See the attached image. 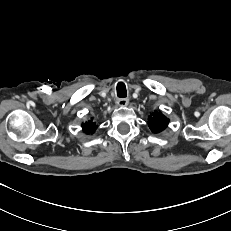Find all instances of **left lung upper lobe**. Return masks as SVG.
<instances>
[{
  "label": "left lung upper lobe",
  "instance_id": "1",
  "mask_svg": "<svg viewBox=\"0 0 231 231\" xmlns=\"http://www.w3.org/2000/svg\"><path fill=\"white\" fill-rule=\"evenodd\" d=\"M169 123V119L165 117L161 112L152 113L151 116H149L148 125L152 132L159 133L162 130H164Z\"/></svg>",
  "mask_w": 231,
  "mask_h": 231
}]
</instances>
